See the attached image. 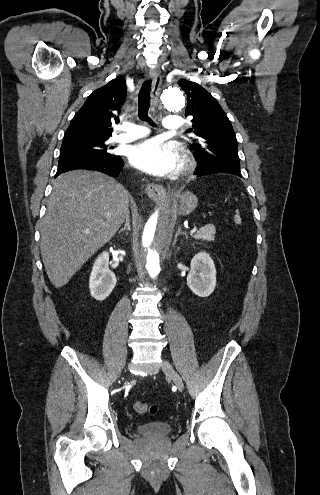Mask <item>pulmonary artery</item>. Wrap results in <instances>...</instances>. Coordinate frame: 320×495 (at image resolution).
Masks as SVG:
<instances>
[{"label": "pulmonary artery", "instance_id": "1", "mask_svg": "<svg viewBox=\"0 0 320 495\" xmlns=\"http://www.w3.org/2000/svg\"><path fill=\"white\" fill-rule=\"evenodd\" d=\"M163 126L168 131H178L182 128V118L179 116H168L164 119ZM123 129L125 132L114 138L116 142H131L148 134V129L138 124H128Z\"/></svg>", "mask_w": 320, "mask_h": 495}]
</instances>
